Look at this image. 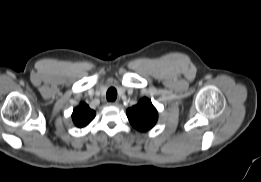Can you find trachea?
<instances>
[{
  "instance_id": "1",
  "label": "trachea",
  "mask_w": 261,
  "mask_h": 182,
  "mask_svg": "<svg viewBox=\"0 0 261 182\" xmlns=\"http://www.w3.org/2000/svg\"><path fill=\"white\" fill-rule=\"evenodd\" d=\"M106 98L108 101H115L117 98V91L115 88L111 87L108 89L107 93H106Z\"/></svg>"
}]
</instances>
